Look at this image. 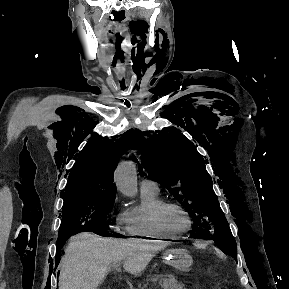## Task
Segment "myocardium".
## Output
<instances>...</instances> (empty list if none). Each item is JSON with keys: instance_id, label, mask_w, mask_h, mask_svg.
Returning <instances> with one entry per match:
<instances>
[{"instance_id": "myocardium-1", "label": "myocardium", "mask_w": 289, "mask_h": 289, "mask_svg": "<svg viewBox=\"0 0 289 289\" xmlns=\"http://www.w3.org/2000/svg\"><path fill=\"white\" fill-rule=\"evenodd\" d=\"M170 208L178 209L187 218L188 226L183 231L173 232V231L169 230L166 227V225L164 224V219H163L164 212ZM153 220H154L155 224L158 226V228L160 230H162L164 233H166L167 235H169L170 237L182 236V235L188 233L192 227V218L190 216V213L182 204L175 202V201H163V202H161L154 210Z\"/></svg>"}]
</instances>
